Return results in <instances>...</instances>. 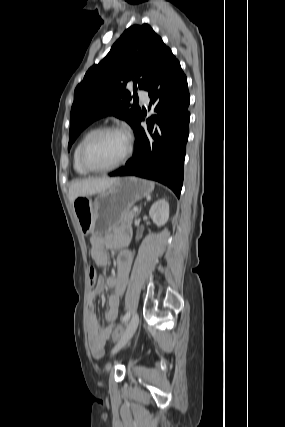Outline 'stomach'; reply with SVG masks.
<instances>
[{"label":"stomach","instance_id":"obj_1","mask_svg":"<svg viewBox=\"0 0 285 427\" xmlns=\"http://www.w3.org/2000/svg\"><path fill=\"white\" fill-rule=\"evenodd\" d=\"M153 189L154 184L144 179L118 178L94 200L88 196L76 198L74 213L83 232L104 235L126 223L123 219L125 212L138 200L149 198Z\"/></svg>","mask_w":285,"mask_h":427}]
</instances>
